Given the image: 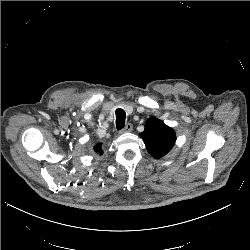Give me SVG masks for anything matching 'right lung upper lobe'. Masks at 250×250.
<instances>
[{
  "label": "right lung upper lobe",
  "mask_w": 250,
  "mask_h": 250,
  "mask_svg": "<svg viewBox=\"0 0 250 250\" xmlns=\"http://www.w3.org/2000/svg\"><path fill=\"white\" fill-rule=\"evenodd\" d=\"M94 150H95L96 152H98L99 154H102V153H103V151H102V149H101V146H100L99 144L95 145Z\"/></svg>",
  "instance_id": "obj_1"
}]
</instances>
